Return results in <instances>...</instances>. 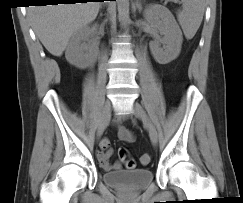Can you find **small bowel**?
I'll use <instances>...</instances> for the list:
<instances>
[{
  "label": "small bowel",
  "instance_id": "small-bowel-1",
  "mask_svg": "<svg viewBox=\"0 0 243 203\" xmlns=\"http://www.w3.org/2000/svg\"><path fill=\"white\" fill-rule=\"evenodd\" d=\"M117 135L121 141L132 142L134 140L133 134L123 126H117ZM113 150L108 138H104L100 142V151L97 153V159L101 166L106 171L121 169L119 161L110 163L109 159L112 156Z\"/></svg>",
  "mask_w": 243,
  "mask_h": 203
}]
</instances>
